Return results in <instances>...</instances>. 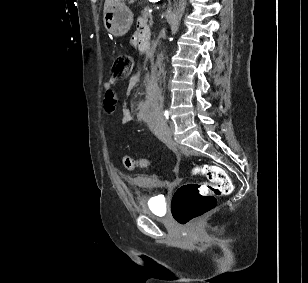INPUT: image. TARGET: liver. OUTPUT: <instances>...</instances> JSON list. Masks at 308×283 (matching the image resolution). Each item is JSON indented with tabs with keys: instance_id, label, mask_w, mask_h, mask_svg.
<instances>
[{
	"instance_id": "obj_1",
	"label": "liver",
	"mask_w": 308,
	"mask_h": 283,
	"mask_svg": "<svg viewBox=\"0 0 308 283\" xmlns=\"http://www.w3.org/2000/svg\"><path fill=\"white\" fill-rule=\"evenodd\" d=\"M120 2L121 0H105L104 12H106L110 6L120 3Z\"/></svg>"
}]
</instances>
